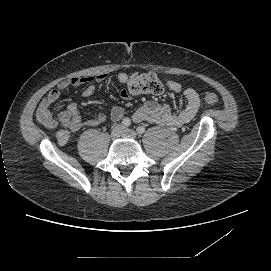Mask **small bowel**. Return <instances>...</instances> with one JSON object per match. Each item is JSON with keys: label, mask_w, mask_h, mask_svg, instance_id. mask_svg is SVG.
<instances>
[{"label": "small bowel", "mask_w": 271, "mask_h": 271, "mask_svg": "<svg viewBox=\"0 0 271 271\" xmlns=\"http://www.w3.org/2000/svg\"><path fill=\"white\" fill-rule=\"evenodd\" d=\"M128 76L125 73H120L118 76L119 81L125 84ZM107 79L106 74H99L93 77H72L66 79L58 84V86L51 90L41 101L38 108V117L47 127H55L58 124L63 128L57 135L60 144H64L69 139L70 133H76L84 127L97 126L103 123L106 119L105 114L99 113L87 120H82L79 107L76 103H71L64 110L58 113L57 120L50 112V106L55 103L61 92L73 86L86 85L82 91L83 97H90L95 92V84L100 83ZM168 88L175 93H182L185 105L179 110L175 111L170 105H160L154 101H148L143 104L132 115L135 122H149L158 125L166 126H182L187 124L197 113L200 107V98L197 92L193 89H182L181 84L176 81H167ZM121 96L124 99H130L131 95L123 89ZM124 116L123 108L113 106L111 108V117L118 120Z\"/></svg>", "instance_id": "obj_1"}]
</instances>
